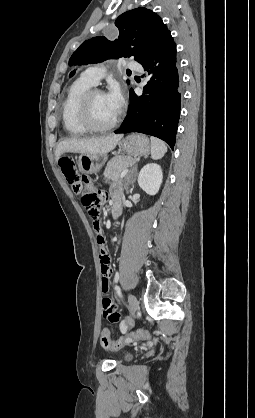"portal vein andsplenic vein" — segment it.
I'll list each match as a JSON object with an SVG mask.
<instances>
[{
  "label": "portal vein and splenic vein",
  "instance_id": "obj_1",
  "mask_svg": "<svg viewBox=\"0 0 255 418\" xmlns=\"http://www.w3.org/2000/svg\"><path fill=\"white\" fill-rule=\"evenodd\" d=\"M128 172H129V170H128V169L123 170V171L121 172L120 177H121V178L125 177V176L127 175V173H128Z\"/></svg>",
  "mask_w": 255,
  "mask_h": 418
}]
</instances>
